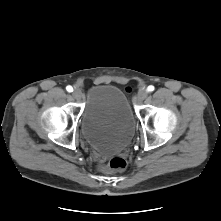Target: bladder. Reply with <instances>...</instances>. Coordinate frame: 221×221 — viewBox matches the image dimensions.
I'll use <instances>...</instances> for the list:
<instances>
[{"instance_id": "31cf9c89", "label": "bladder", "mask_w": 221, "mask_h": 221, "mask_svg": "<svg viewBox=\"0 0 221 221\" xmlns=\"http://www.w3.org/2000/svg\"><path fill=\"white\" fill-rule=\"evenodd\" d=\"M80 128L96 152L112 155L123 151L135 130V117L123 91L110 84L92 86L86 93Z\"/></svg>"}]
</instances>
